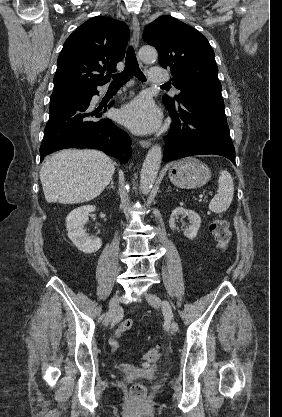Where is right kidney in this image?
<instances>
[{"instance_id":"obj_1","label":"right kidney","mask_w":282,"mask_h":417,"mask_svg":"<svg viewBox=\"0 0 282 417\" xmlns=\"http://www.w3.org/2000/svg\"><path fill=\"white\" fill-rule=\"evenodd\" d=\"M92 211H95L93 204H84V206H78V209L71 211L66 217L68 237L82 253H96V251L101 249L102 245L101 239L89 237L86 231H84V225L87 223L88 215Z\"/></svg>"}]
</instances>
